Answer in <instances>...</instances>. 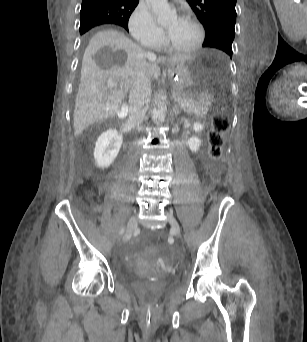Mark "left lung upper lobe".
Segmentation results:
<instances>
[{
    "instance_id": "left-lung-upper-lobe-1",
    "label": "left lung upper lobe",
    "mask_w": 307,
    "mask_h": 342,
    "mask_svg": "<svg viewBox=\"0 0 307 342\" xmlns=\"http://www.w3.org/2000/svg\"><path fill=\"white\" fill-rule=\"evenodd\" d=\"M205 29L203 47L217 48L232 58L236 0H187Z\"/></svg>"
}]
</instances>
